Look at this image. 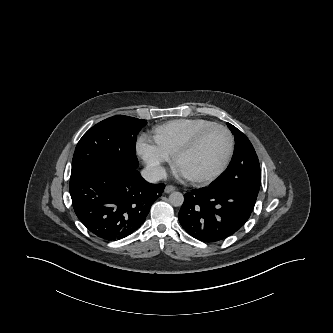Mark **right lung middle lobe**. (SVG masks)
I'll use <instances>...</instances> for the list:
<instances>
[{
	"instance_id": "dd1d6c3e",
	"label": "right lung middle lobe",
	"mask_w": 333,
	"mask_h": 333,
	"mask_svg": "<svg viewBox=\"0 0 333 333\" xmlns=\"http://www.w3.org/2000/svg\"><path fill=\"white\" fill-rule=\"evenodd\" d=\"M146 120L113 116L89 129L78 142L71 177L91 171L126 172L138 167L135 142Z\"/></svg>"
}]
</instances>
